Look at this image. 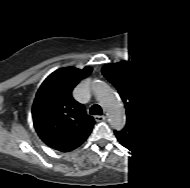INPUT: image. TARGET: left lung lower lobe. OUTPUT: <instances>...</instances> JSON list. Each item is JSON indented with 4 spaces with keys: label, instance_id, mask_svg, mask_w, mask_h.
<instances>
[{
    "label": "left lung lower lobe",
    "instance_id": "0a47b994",
    "mask_svg": "<svg viewBox=\"0 0 190 188\" xmlns=\"http://www.w3.org/2000/svg\"><path fill=\"white\" fill-rule=\"evenodd\" d=\"M120 142L131 151H147L159 138L161 131L137 128L126 124L122 130L115 131Z\"/></svg>",
    "mask_w": 190,
    "mask_h": 188
}]
</instances>
